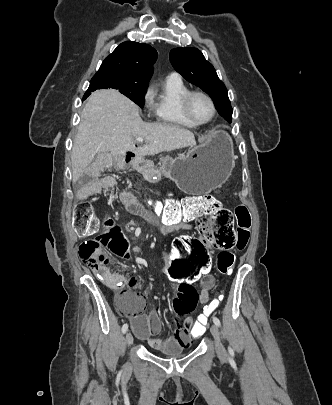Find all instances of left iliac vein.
Listing matches in <instances>:
<instances>
[{"label": "left iliac vein", "instance_id": "left-iliac-vein-1", "mask_svg": "<svg viewBox=\"0 0 332 405\" xmlns=\"http://www.w3.org/2000/svg\"><path fill=\"white\" fill-rule=\"evenodd\" d=\"M211 334L213 335V338L215 340V349L217 354L220 357H224L226 355V351L225 348L223 347L221 341H220V333H219V329L218 326L213 324L210 328Z\"/></svg>", "mask_w": 332, "mask_h": 405}]
</instances>
